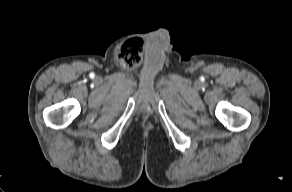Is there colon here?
<instances>
[{
  "instance_id": "obj_1",
  "label": "colon",
  "mask_w": 292,
  "mask_h": 192,
  "mask_svg": "<svg viewBox=\"0 0 292 192\" xmlns=\"http://www.w3.org/2000/svg\"><path fill=\"white\" fill-rule=\"evenodd\" d=\"M134 44L138 45V46H139V49H138L137 52H136V57H135V59L130 63V66H134V65H136V64H138L139 61H140L139 54H140L141 41L137 39V40H135L133 43H130V44L126 45V46L131 47V46L134 45ZM126 46H125V47H126Z\"/></svg>"
}]
</instances>
